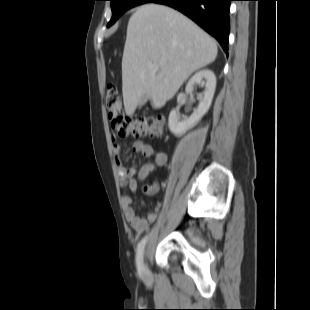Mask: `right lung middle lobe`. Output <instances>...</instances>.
<instances>
[{"label":"right lung middle lobe","instance_id":"dd1d6c3e","mask_svg":"<svg viewBox=\"0 0 310 310\" xmlns=\"http://www.w3.org/2000/svg\"><path fill=\"white\" fill-rule=\"evenodd\" d=\"M112 9V18L107 27L111 26L115 21L128 9L137 5L148 3L150 0H110Z\"/></svg>","mask_w":310,"mask_h":310}]
</instances>
